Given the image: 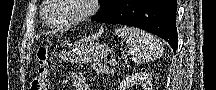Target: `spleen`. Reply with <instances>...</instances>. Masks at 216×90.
<instances>
[{
  "instance_id": "spleen-1",
  "label": "spleen",
  "mask_w": 216,
  "mask_h": 90,
  "mask_svg": "<svg viewBox=\"0 0 216 90\" xmlns=\"http://www.w3.org/2000/svg\"><path fill=\"white\" fill-rule=\"evenodd\" d=\"M115 34L125 40L132 56L133 62L136 64H145V62H153L155 58L161 56V44L156 36L143 32L139 28H127L120 26L115 30Z\"/></svg>"
}]
</instances>
